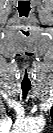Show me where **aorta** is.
<instances>
[{
  "mask_svg": "<svg viewBox=\"0 0 53 133\" xmlns=\"http://www.w3.org/2000/svg\"><path fill=\"white\" fill-rule=\"evenodd\" d=\"M43 126L44 122L40 118L29 119L19 124V128L23 133H36L41 131Z\"/></svg>",
  "mask_w": 53,
  "mask_h": 133,
  "instance_id": "obj_1",
  "label": "aorta"
}]
</instances>
